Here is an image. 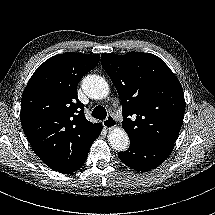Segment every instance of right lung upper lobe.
<instances>
[{
  "label": "right lung upper lobe",
  "instance_id": "right-lung-upper-lobe-1",
  "mask_svg": "<svg viewBox=\"0 0 215 215\" xmlns=\"http://www.w3.org/2000/svg\"><path fill=\"white\" fill-rule=\"evenodd\" d=\"M99 59L98 54L55 55L37 68L24 89L22 129L36 155L49 167L79 162L83 145L98 124L85 118L77 85Z\"/></svg>",
  "mask_w": 215,
  "mask_h": 215
}]
</instances>
